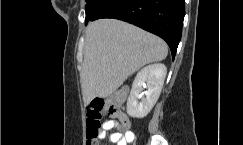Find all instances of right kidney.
Listing matches in <instances>:
<instances>
[{"label":"right kidney","instance_id":"ca27d5eb","mask_svg":"<svg viewBox=\"0 0 243 145\" xmlns=\"http://www.w3.org/2000/svg\"><path fill=\"white\" fill-rule=\"evenodd\" d=\"M166 73V66L161 63L148 65L137 73L127 100V113L131 117L143 118L151 111L161 93ZM143 88L147 90L142 92Z\"/></svg>","mask_w":243,"mask_h":145}]
</instances>
